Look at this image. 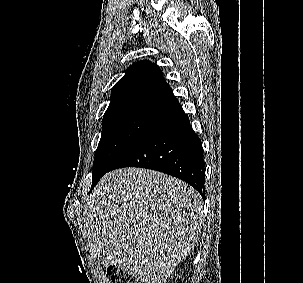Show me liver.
Returning a JSON list of instances; mask_svg holds the SVG:
<instances>
[{"label": "liver", "mask_w": 303, "mask_h": 283, "mask_svg": "<svg viewBox=\"0 0 303 283\" xmlns=\"http://www.w3.org/2000/svg\"><path fill=\"white\" fill-rule=\"evenodd\" d=\"M91 256L145 283H166L195 248L203 201L191 186L166 174L124 168L107 173L83 213Z\"/></svg>", "instance_id": "obj_1"}]
</instances>
